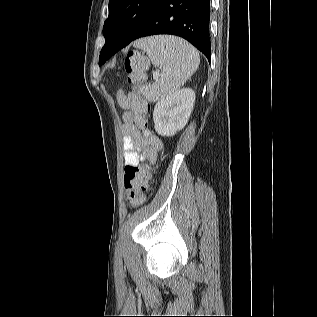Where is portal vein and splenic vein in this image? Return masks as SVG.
Masks as SVG:
<instances>
[{
	"label": "portal vein and splenic vein",
	"instance_id": "1",
	"mask_svg": "<svg viewBox=\"0 0 317 317\" xmlns=\"http://www.w3.org/2000/svg\"><path fill=\"white\" fill-rule=\"evenodd\" d=\"M159 76V73H156L153 77L157 78Z\"/></svg>",
	"mask_w": 317,
	"mask_h": 317
}]
</instances>
